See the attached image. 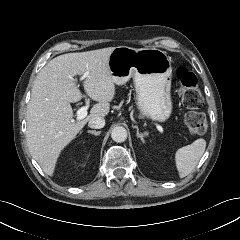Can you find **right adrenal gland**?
<instances>
[{
  "label": "right adrenal gland",
  "mask_w": 240,
  "mask_h": 240,
  "mask_svg": "<svg viewBox=\"0 0 240 240\" xmlns=\"http://www.w3.org/2000/svg\"><path fill=\"white\" fill-rule=\"evenodd\" d=\"M87 132L90 133V134H93L95 136H98L101 133V131H95V130H88Z\"/></svg>",
  "instance_id": "right-adrenal-gland-1"
}]
</instances>
